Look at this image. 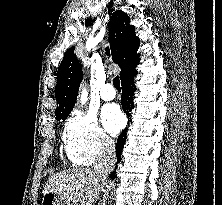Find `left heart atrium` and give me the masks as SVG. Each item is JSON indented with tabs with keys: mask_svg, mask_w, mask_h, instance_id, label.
<instances>
[{
	"mask_svg": "<svg viewBox=\"0 0 222 205\" xmlns=\"http://www.w3.org/2000/svg\"><path fill=\"white\" fill-rule=\"evenodd\" d=\"M101 118L105 129L112 135L116 134L124 123L121 110L115 104L104 106L101 112Z\"/></svg>",
	"mask_w": 222,
	"mask_h": 205,
	"instance_id": "39dd6f15",
	"label": "left heart atrium"
}]
</instances>
